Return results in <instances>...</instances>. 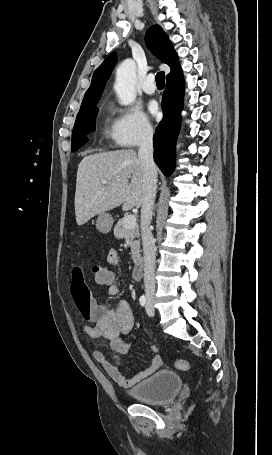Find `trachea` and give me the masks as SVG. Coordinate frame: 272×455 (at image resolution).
Listing matches in <instances>:
<instances>
[{
	"mask_svg": "<svg viewBox=\"0 0 272 455\" xmlns=\"http://www.w3.org/2000/svg\"><path fill=\"white\" fill-rule=\"evenodd\" d=\"M156 84L158 87H165V75L164 72H158L156 77Z\"/></svg>",
	"mask_w": 272,
	"mask_h": 455,
	"instance_id": "obj_1",
	"label": "trachea"
}]
</instances>
